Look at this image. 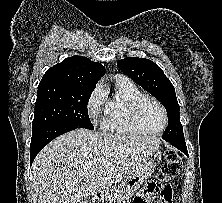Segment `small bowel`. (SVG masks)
Returning a JSON list of instances; mask_svg holds the SVG:
<instances>
[{
	"label": "small bowel",
	"instance_id": "1",
	"mask_svg": "<svg viewBox=\"0 0 222 203\" xmlns=\"http://www.w3.org/2000/svg\"><path fill=\"white\" fill-rule=\"evenodd\" d=\"M171 198H172V189H171V186H168L167 187V197L165 198L164 203H170Z\"/></svg>",
	"mask_w": 222,
	"mask_h": 203
}]
</instances>
